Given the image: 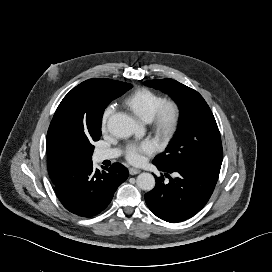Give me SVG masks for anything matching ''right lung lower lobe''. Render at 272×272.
I'll use <instances>...</instances> for the list:
<instances>
[{
	"instance_id": "obj_1",
	"label": "right lung lower lobe",
	"mask_w": 272,
	"mask_h": 272,
	"mask_svg": "<svg viewBox=\"0 0 272 272\" xmlns=\"http://www.w3.org/2000/svg\"><path fill=\"white\" fill-rule=\"evenodd\" d=\"M127 177L128 170L120 163L100 172L93 169L91 160L82 164L72 177L55 185V192L68 211L91 217L109 205L116 189Z\"/></svg>"
}]
</instances>
